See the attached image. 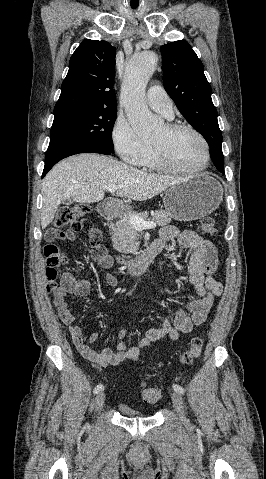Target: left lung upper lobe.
I'll return each mask as SVG.
<instances>
[{
	"label": "left lung upper lobe",
	"instance_id": "left-lung-upper-lobe-1",
	"mask_svg": "<svg viewBox=\"0 0 266 479\" xmlns=\"http://www.w3.org/2000/svg\"><path fill=\"white\" fill-rule=\"evenodd\" d=\"M160 51L166 92L186 120L205 138L212 162L224 173L222 134L201 60L185 40L163 45Z\"/></svg>",
	"mask_w": 266,
	"mask_h": 479
}]
</instances>
